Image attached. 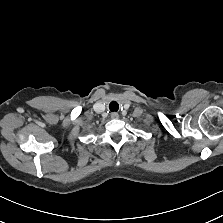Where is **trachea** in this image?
<instances>
[{
	"instance_id": "1",
	"label": "trachea",
	"mask_w": 223,
	"mask_h": 223,
	"mask_svg": "<svg viewBox=\"0 0 223 223\" xmlns=\"http://www.w3.org/2000/svg\"><path fill=\"white\" fill-rule=\"evenodd\" d=\"M119 108V105L116 101H112L110 104H109V109L111 110V112H116Z\"/></svg>"
}]
</instances>
